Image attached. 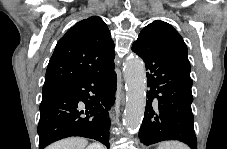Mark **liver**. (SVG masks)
Listing matches in <instances>:
<instances>
[{"label":"liver","instance_id":"6515ba94","mask_svg":"<svg viewBox=\"0 0 227 149\" xmlns=\"http://www.w3.org/2000/svg\"><path fill=\"white\" fill-rule=\"evenodd\" d=\"M88 142L84 138L71 137L60 140L48 146L47 149H85ZM100 149H104V146L99 145Z\"/></svg>","mask_w":227,"mask_h":149}]
</instances>
